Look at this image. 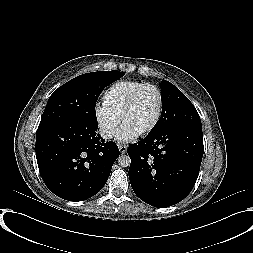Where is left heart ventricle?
<instances>
[{
  "label": "left heart ventricle",
  "mask_w": 253,
  "mask_h": 253,
  "mask_svg": "<svg viewBox=\"0 0 253 253\" xmlns=\"http://www.w3.org/2000/svg\"><path fill=\"white\" fill-rule=\"evenodd\" d=\"M158 94L153 88L141 92L135 105L125 117L124 124L136 132L147 128L154 119L158 108Z\"/></svg>",
  "instance_id": "left-heart-ventricle-1"
}]
</instances>
